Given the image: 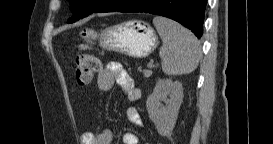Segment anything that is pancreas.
<instances>
[{
  "label": "pancreas",
  "mask_w": 273,
  "mask_h": 144,
  "mask_svg": "<svg viewBox=\"0 0 273 144\" xmlns=\"http://www.w3.org/2000/svg\"><path fill=\"white\" fill-rule=\"evenodd\" d=\"M138 70L140 72L142 71L141 68H138ZM143 75H144L145 78H148V77H150L152 75V71H150V70H144L143 71Z\"/></svg>",
  "instance_id": "1"
}]
</instances>
